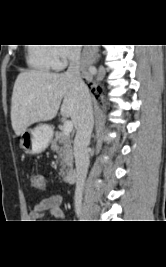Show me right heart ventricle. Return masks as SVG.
I'll return each mask as SVG.
<instances>
[{
	"label": "right heart ventricle",
	"mask_w": 166,
	"mask_h": 267,
	"mask_svg": "<svg viewBox=\"0 0 166 267\" xmlns=\"http://www.w3.org/2000/svg\"><path fill=\"white\" fill-rule=\"evenodd\" d=\"M29 45L26 51V62L31 69L47 72L56 67L51 46L41 43Z\"/></svg>",
	"instance_id": "1"
}]
</instances>
